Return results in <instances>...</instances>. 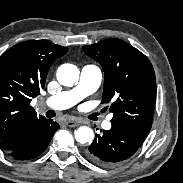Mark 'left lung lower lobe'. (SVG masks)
<instances>
[{
  "mask_svg": "<svg viewBox=\"0 0 183 183\" xmlns=\"http://www.w3.org/2000/svg\"><path fill=\"white\" fill-rule=\"evenodd\" d=\"M146 136L126 125L112 123L110 130H104L101 136L96 134L86 155L99 165L113 166L131 157Z\"/></svg>",
  "mask_w": 183,
  "mask_h": 183,
  "instance_id": "left-lung-lower-lobe-1",
  "label": "left lung lower lobe"
}]
</instances>
